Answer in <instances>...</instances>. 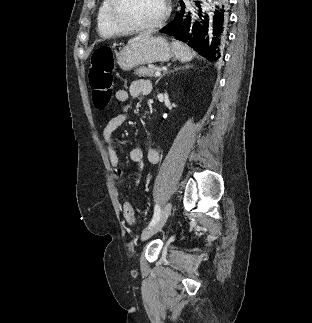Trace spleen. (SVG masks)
Segmentation results:
<instances>
[{"mask_svg":"<svg viewBox=\"0 0 312 323\" xmlns=\"http://www.w3.org/2000/svg\"><path fill=\"white\" fill-rule=\"evenodd\" d=\"M173 54L179 62H191L195 56V52H191L190 48L188 46H185L183 42H172L171 44Z\"/></svg>","mask_w":312,"mask_h":323,"instance_id":"3e777b00","label":"spleen"}]
</instances>
